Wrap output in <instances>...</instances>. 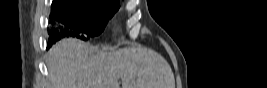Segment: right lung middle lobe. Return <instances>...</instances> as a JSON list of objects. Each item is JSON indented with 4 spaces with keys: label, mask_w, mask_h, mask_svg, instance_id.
<instances>
[{
    "label": "right lung middle lobe",
    "mask_w": 267,
    "mask_h": 88,
    "mask_svg": "<svg viewBox=\"0 0 267 88\" xmlns=\"http://www.w3.org/2000/svg\"><path fill=\"white\" fill-rule=\"evenodd\" d=\"M119 7L114 0H53L50 18L69 26L73 37L88 40L102 33ZM49 34V40L59 37L51 30Z\"/></svg>",
    "instance_id": "1"
}]
</instances>
